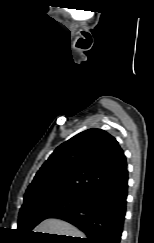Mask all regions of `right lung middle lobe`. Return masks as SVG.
Returning a JSON list of instances; mask_svg holds the SVG:
<instances>
[{"label": "right lung middle lobe", "mask_w": 154, "mask_h": 243, "mask_svg": "<svg viewBox=\"0 0 154 243\" xmlns=\"http://www.w3.org/2000/svg\"><path fill=\"white\" fill-rule=\"evenodd\" d=\"M87 198L56 195L25 202L19 212L18 231L21 235L32 233V229L47 218L83 206Z\"/></svg>", "instance_id": "obj_1"}]
</instances>
